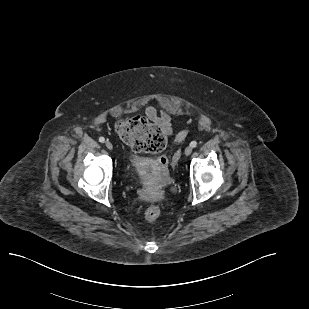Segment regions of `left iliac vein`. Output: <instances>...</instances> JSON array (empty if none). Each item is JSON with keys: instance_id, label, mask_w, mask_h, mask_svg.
Masks as SVG:
<instances>
[{"instance_id": "4c4485c4", "label": "left iliac vein", "mask_w": 309, "mask_h": 309, "mask_svg": "<svg viewBox=\"0 0 309 309\" xmlns=\"http://www.w3.org/2000/svg\"><path fill=\"white\" fill-rule=\"evenodd\" d=\"M192 153V147L191 146H188L185 148V155L188 156Z\"/></svg>"}]
</instances>
